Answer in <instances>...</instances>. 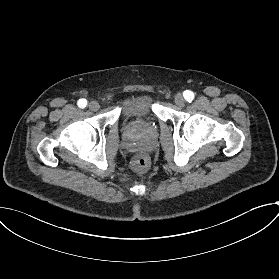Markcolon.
Instances as JSON below:
<instances>
[{
	"label": "colon",
	"mask_w": 279,
	"mask_h": 279,
	"mask_svg": "<svg viewBox=\"0 0 279 279\" xmlns=\"http://www.w3.org/2000/svg\"><path fill=\"white\" fill-rule=\"evenodd\" d=\"M150 167V160L144 154H136L130 160V168L137 173H144Z\"/></svg>",
	"instance_id": "1"
}]
</instances>
